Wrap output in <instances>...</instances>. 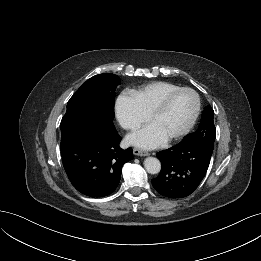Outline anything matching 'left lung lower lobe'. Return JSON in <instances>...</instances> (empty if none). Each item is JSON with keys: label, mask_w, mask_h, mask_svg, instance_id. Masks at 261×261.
Listing matches in <instances>:
<instances>
[{"label": "left lung lower lobe", "mask_w": 261, "mask_h": 261, "mask_svg": "<svg viewBox=\"0 0 261 261\" xmlns=\"http://www.w3.org/2000/svg\"><path fill=\"white\" fill-rule=\"evenodd\" d=\"M212 152L206 144L181 141L157 153L162 168L152 179L155 190L167 198H184L195 191L209 167Z\"/></svg>", "instance_id": "1"}]
</instances>
